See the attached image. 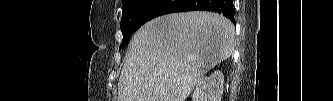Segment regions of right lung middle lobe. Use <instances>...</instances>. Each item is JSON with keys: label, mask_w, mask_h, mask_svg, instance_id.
Masks as SVG:
<instances>
[{"label": "right lung middle lobe", "mask_w": 333, "mask_h": 101, "mask_svg": "<svg viewBox=\"0 0 333 101\" xmlns=\"http://www.w3.org/2000/svg\"><path fill=\"white\" fill-rule=\"evenodd\" d=\"M149 2L150 0H122V19L120 27L123 40L119 49L128 43L132 33L137 30L136 21Z\"/></svg>", "instance_id": "right-lung-middle-lobe-1"}]
</instances>
